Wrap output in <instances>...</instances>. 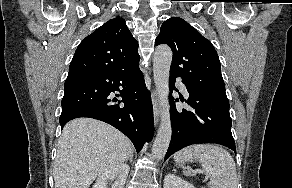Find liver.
I'll return each mask as SVG.
<instances>
[{
	"label": "liver",
	"instance_id": "6515ba94",
	"mask_svg": "<svg viewBox=\"0 0 292 188\" xmlns=\"http://www.w3.org/2000/svg\"><path fill=\"white\" fill-rule=\"evenodd\" d=\"M131 154L130 140L114 127L91 118L74 119L64 126L58 140L55 188H89Z\"/></svg>",
	"mask_w": 292,
	"mask_h": 188
}]
</instances>
